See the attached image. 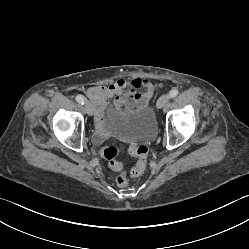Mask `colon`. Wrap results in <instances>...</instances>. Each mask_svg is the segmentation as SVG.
I'll return each instance as SVG.
<instances>
[{
  "mask_svg": "<svg viewBox=\"0 0 249 249\" xmlns=\"http://www.w3.org/2000/svg\"><path fill=\"white\" fill-rule=\"evenodd\" d=\"M130 151L138 158L137 164L131 170V175L138 177L142 175L146 169L149 149L146 144L138 143L132 145ZM119 153L120 148L116 145H108L100 150L101 157L109 161L110 168L114 171L122 170L121 163L115 160ZM116 183L120 187H125L128 185L129 179L125 174L121 173L117 176Z\"/></svg>",
  "mask_w": 249,
  "mask_h": 249,
  "instance_id": "1",
  "label": "colon"
}]
</instances>
